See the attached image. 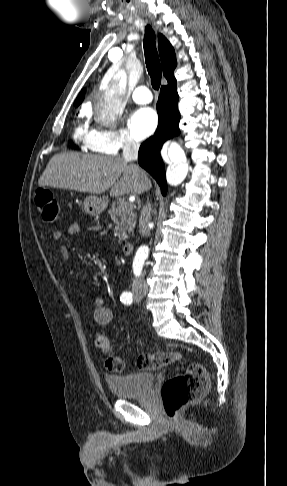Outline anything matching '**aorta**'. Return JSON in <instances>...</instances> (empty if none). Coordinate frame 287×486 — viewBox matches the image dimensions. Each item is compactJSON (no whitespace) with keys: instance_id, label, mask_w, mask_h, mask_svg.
<instances>
[{"instance_id":"obj_1","label":"aorta","mask_w":287,"mask_h":486,"mask_svg":"<svg viewBox=\"0 0 287 486\" xmlns=\"http://www.w3.org/2000/svg\"><path fill=\"white\" fill-rule=\"evenodd\" d=\"M129 87V80L124 70L113 74L106 87L96 96L94 114L98 121L108 124L114 122L121 115L123 99ZM168 154L173 160L167 170V183L171 186L181 184L187 176L188 165L185 155L177 143H171ZM149 254V248L143 245L138 248L133 262L134 272L137 274Z\"/></svg>"}]
</instances>
